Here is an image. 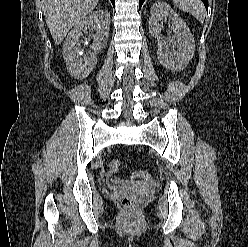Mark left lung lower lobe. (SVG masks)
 Listing matches in <instances>:
<instances>
[{"label": "left lung lower lobe", "mask_w": 248, "mask_h": 247, "mask_svg": "<svg viewBox=\"0 0 248 247\" xmlns=\"http://www.w3.org/2000/svg\"><path fill=\"white\" fill-rule=\"evenodd\" d=\"M145 0H139V9L141 8L142 4L144 3ZM204 3L206 9H208V0H202Z\"/></svg>", "instance_id": "left-lung-lower-lobe-1"}]
</instances>
